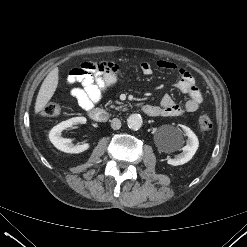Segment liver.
<instances>
[{"label":"liver","mask_w":247,"mask_h":247,"mask_svg":"<svg viewBox=\"0 0 247 247\" xmlns=\"http://www.w3.org/2000/svg\"><path fill=\"white\" fill-rule=\"evenodd\" d=\"M58 68L55 67L52 69L49 74L44 79L40 90L37 95L36 103H35V113H39L46 104L50 101L52 96L54 95L57 85H58Z\"/></svg>","instance_id":"6515ba94"}]
</instances>
